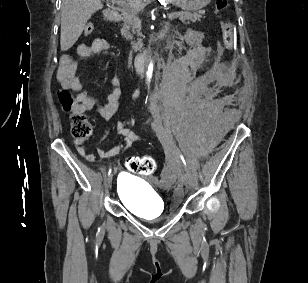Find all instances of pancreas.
I'll use <instances>...</instances> for the list:
<instances>
[{
	"mask_svg": "<svg viewBox=\"0 0 308 283\" xmlns=\"http://www.w3.org/2000/svg\"><path fill=\"white\" fill-rule=\"evenodd\" d=\"M204 13H205L204 11H199V12H194V13L187 12V13H183V15L179 16V18L184 23L187 20L195 22L197 20L200 21ZM122 22H123V26L121 29V35L125 37L126 39L131 40L132 49L134 51L140 50L142 44L140 41L135 42L133 40L134 38L132 34L135 32L138 33L141 27L140 20L137 17V13L134 10L123 13Z\"/></svg>",
	"mask_w": 308,
	"mask_h": 283,
	"instance_id": "cf45deb5",
	"label": "pancreas"
}]
</instances>
